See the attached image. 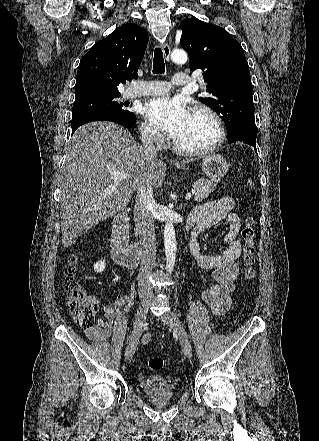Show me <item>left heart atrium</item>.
<instances>
[{
	"label": "left heart atrium",
	"mask_w": 319,
	"mask_h": 441,
	"mask_svg": "<svg viewBox=\"0 0 319 441\" xmlns=\"http://www.w3.org/2000/svg\"><path fill=\"white\" fill-rule=\"evenodd\" d=\"M143 114L171 138H175L189 118L190 112L179 98L162 96L149 99Z\"/></svg>",
	"instance_id": "1"
}]
</instances>
